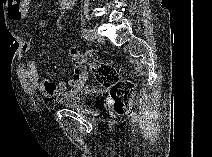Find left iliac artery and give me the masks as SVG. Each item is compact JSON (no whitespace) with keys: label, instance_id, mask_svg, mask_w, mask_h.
Listing matches in <instances>:
<instances>
[{"label":"left iliac artery","instance_id":"left-iliac-artery-1","mask_svg":"<svg viewBox=\"0 0 212 157\" xmlns=\"http://www.w3.org/2000/svg\"><path fill=\"white\" fill-rule=\"evenodd\" d=\"M82 37L84 39H87V40H92L94 37H93V30L91 29H84L83 32H82Z\"/></svg>","mask_w":212,"mask_h":157}]
</instances>
